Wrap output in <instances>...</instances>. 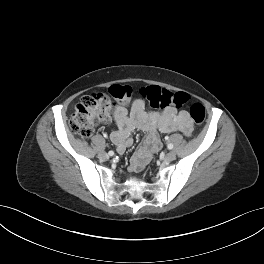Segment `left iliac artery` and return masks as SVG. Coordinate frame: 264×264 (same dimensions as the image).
Returning a JSON list of instances; mask_svg holds the SVG:
<instances>
[{"label": "left iliac artery", "instance_id": "1", "mask_svg": "<svg viewBox=\"0 0 264 264\" xmlns=\"http://www.w3.org/2000/svg\"><path fill=\"white\" fill-rule=\"evenodd\" d=\"M165 139L168 140L169 137L166 136ZM167 147H168V149H173V144L172 143H169Z\"/></svg>", "mask_w": 264, "mask_h": 264}]
</instances>
